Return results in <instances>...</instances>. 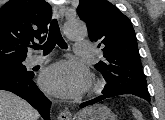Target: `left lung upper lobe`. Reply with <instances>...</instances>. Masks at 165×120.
I'll use <instances>...</instances> for the list:
<instances>
[{"instance_id":"1","label":"left lung upper lobe","mask_w":165,"mask_h":120,"mask_svg":"<svg viewBox=\"0 0 165 120\" xmlns=\"http://www.w3.org/2000/svg\"><path fill=\"white\" fill-rule=\"evenodd\" d=\"M77 12L87 24L90 40L104 52V60L95 65L107 82L104 94L150 99L129 18L107 0H79Z\"/></svg>"}]
</instances>
